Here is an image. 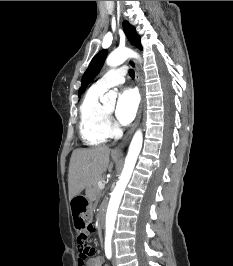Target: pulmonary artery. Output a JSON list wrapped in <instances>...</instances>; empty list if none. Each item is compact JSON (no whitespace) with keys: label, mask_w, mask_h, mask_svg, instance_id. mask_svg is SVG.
<instances>
[{"label":"pulmonary artery","mask_w":233,"mask_h":266,"mask_svg":"<svg viewBox=\"0 0 233 266\" xmlns=\"http://www.w3.org/2000/svg\"><path fill=\"white\" fill-rule=\"evenodd\" d=\"M126 68L119 67L109 70L94 85L104 91L111 87L123 84L125 81Z\"/></svg>","instance_id":"e3ab8cb5"}]
</instances>
